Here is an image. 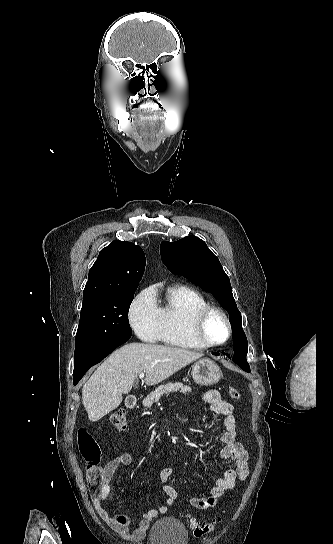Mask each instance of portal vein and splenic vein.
Wrapping results in <instances>:
<instances>
[{
  "instance_id": "1",
  "label": "portal vein and splenic vein",
  "mask_w": 333,
  "mask_h": 544,
  "mask_svg": "<svg viewBox=\"0 0 333 544\" xmlns=\"http://www.w3.org/2000/svg\"><path fill=\"white\" fill-rule=\"evenodd\" d=\"M139 378H140V379H143V378H144V372H141V373L139 374Z\"/></svg>"
}]
</instances>
